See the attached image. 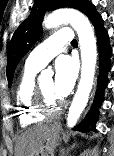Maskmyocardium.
<instances>
[{
	"label": "myocardium",
	"mask_w": 114,
	"mask_h": 156,
	"mask_svg": "<svg viewBox=\"0 0 114 156\" xmlns=\"http://www.w3.org/2000/svg\"><path fill=\"white\" fill-rule=\"evenodd\" d=\"M35 105L37 110L45 116L58 115L64 108V102L61 100L53 101L49 98L40 84L35 86Z\"/></svg>",
	"instance_id": "myocardium-1"
}]
</instances>
